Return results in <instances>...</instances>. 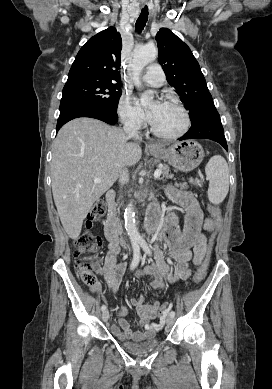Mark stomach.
I'll use <instances>...</instances> for the list:
<instances>
[{"label": "stomach", "instance_id": "1", "mask_svg": "<svg viewBox=\"0 0 272 389\" xmlns=\"http://www.w3.org/2000/svg\"><path fill=\"white\" fill-rule=\"evenodd\" d=\"M149 152L183 172H190L198 167L205 156L202 146L193 140L180 141L169 147L159 145L149 149Z\"/></svg>", "mask_w": 272, "mask_h": 389}]
</instances>
